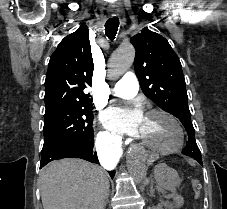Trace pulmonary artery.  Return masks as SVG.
Segmentation results:
<instances>
[{
  "label": "pulmonary artery",
  "mask_w": 227,
  "mask_h": 209,
  "mask_svg": "<svg viewBox=\"0 0 227 209\" xmlns=\"http://www.w3.org/2000/svg\"><path fill=\"white\" fill-rule=\"evenodd\" d=\"M138 86L136 73H123V79L111 89L110 94L116 97L130 98L136 95Z\"/></svg>",
  "instance_id": "1"
}]
</instances>
